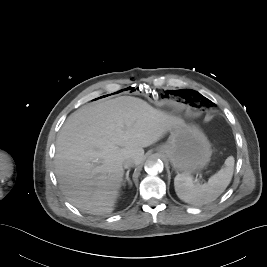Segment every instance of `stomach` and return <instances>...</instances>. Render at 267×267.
Masks as SVG:
<instances>
[{
    "label": "stomach",
    "instance_id": "obj_1",
    "mask_svg": "<svg viewBox=\"0 0 267 267\" xmlns=\"http://www.w3.org/2000/svg\"><path fill=\"white\" fill-rule=\"evenodd\" d=\"M167 142L159 149L176 172L190 176L206 168L212 154L211 145L196 126L187 124L172 127Z\"/></svg>",
    "mask_w": 267,
    "mask_h": 267
}]
</instances>
